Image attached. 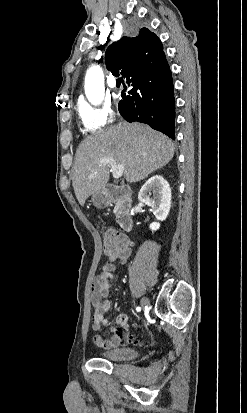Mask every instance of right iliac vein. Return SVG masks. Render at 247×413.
Masks as SVG:
<instances>
[{"instance_id": "63e3f726", "label": "right iliac vein", "mask_w": 247, "mask_h": 413, "mask_svg": "<svg viewBox=\"0 0 247 413\" xmlns=\"http://www.w3.org/2000/svg\"><path fill=\"white\" fill-rule=\"evenodd\" d=\"M141 304H142V306H144V307H148V306L150 305V302H149V300H148L146 297H142V298H141Z\"/></svg>"}]
</instances>
